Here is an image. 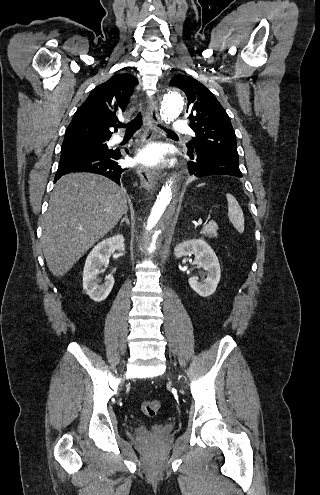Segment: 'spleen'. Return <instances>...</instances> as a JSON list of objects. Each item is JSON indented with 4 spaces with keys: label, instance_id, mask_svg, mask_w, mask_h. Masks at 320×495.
Instances as JSON below:
<instances>
[{
    "label": "spleen",
    "instance_id": "1",
    "mask_svg": "<svg viewBox=\"0 0 320 495\" xmlns=\"http://www.w3.org/2000/svg\"><path fill=\"white\" fill-rule=\"evenodd\" d=\"M200 184L199 186H203ZM228 201V218L235 229L238 232L243 233L244 231V215L241 207L239 206L237 200L231 194L226 195Z\"/></svg>",
    "mask_w": 320,
    "mask_h": 495
}]
</instances>
